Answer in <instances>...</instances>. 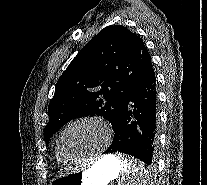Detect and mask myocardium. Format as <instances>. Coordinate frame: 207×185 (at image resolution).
Segmentation results:
<instances>
[{
	"label": "myocardium",
	"instance_id": "myocardium-1",
	"mask_svg": "<svg viewBox=\"0 0 207 185\" xmlns=\"http://www.w3.org/2000/svg\"><path fill=\"white\" fill-rule=\"evenodd\" d=\"M84 121H93V122H96L98 123L100 126L103 127V129L105 130L108 138L112 137L113 136V129L111 128V126L101 117H98V116H93V115H87V116H82V117H79V118H76L74 119L72 122H70L64 129L63 131L61 132V135L59 137V141H58V147H59V151H60V154L61 156L68 162H71V163H75V164H78V163H81V162H84L88 159H94V158H98L101 156L102 154V151H98L96 153H92V154H89L87 156H84L82 158H78V159H75V158H72L65 150L64 148V137L67 133V131L74 125L80 123V122H84Z\"/></svg>",
	"mask_w": 207,
	"mask_h": 185
}]
</instances>
